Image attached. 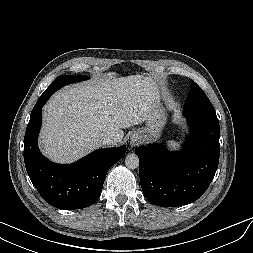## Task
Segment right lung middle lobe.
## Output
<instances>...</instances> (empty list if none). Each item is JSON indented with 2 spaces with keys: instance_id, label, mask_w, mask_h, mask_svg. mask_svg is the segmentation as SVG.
I'll use <instances>...</instances> for the list:
<instances>
[{
  "instance_id": "right-lung-middle-lobe-1",
  "label": "right lung middle lobe",
  "mask_w": 253,
  "mask_h": 253,
  "mask_svg": "<svg viewBox=\"0 0 253 253\" xmlns=\"http://www.w3.org/2000/svg\"><path fill=\"white\" fill-rule=\"evenodd\" d=\"M88 79L87 76H73V75H62L59 76L58 78H56L50 85L49 87L44 91V93L40 96V98L38 99L36 105L34 106L33 109L36 108V106H38L39 103L42 102H46L49 97L58 89H60L61 87H63L66 84L69 83H74V82H78V81H83Z\"/></svg>"
}]
</instances>
